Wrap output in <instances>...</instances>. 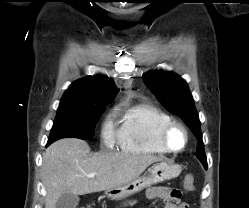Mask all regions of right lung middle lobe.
I'll list each match as a JSON object with an SVG mask.
<instances>
[{"instance_id":"dd1d6c3e","label":"right lung middle lobe","mask_w":249,"mask_h":208,"mask_svg":"<svg viewBox=\"0 0 249 208\" xmlns=\"http://www.w3.org/2000/svg\"><path fill=\"white\" fill-rule=\"evenodd\" d=\"M104 106H59L47 145L66 137L91 140Z\"/></svg>"}]
</instances>
